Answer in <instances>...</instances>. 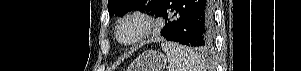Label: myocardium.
Here are the masks:
<instances>
[{"label": "myocardium", "mask_w": 301, "mask_h": 71, "mask_svg": "<svg viewBox=\"0 0 301 71\" xmlns=\"http://www.w3.org/2000/svg\"><path fill=\"white\" fill-rule=\"evenodd\" d=\"M128 23H136L138 31L131 39L125 40L121 37V29ZM154 28V19L149 14L135 11L122 17L115 29L116 40L124 46H134L147 38Z\"/></svg>", "instance_id": "f54148a6"}]
</instances>
